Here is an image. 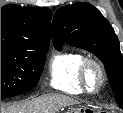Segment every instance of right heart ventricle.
Masks as SVG:
<instances>
[{"label":"right heart ventricle","instance_id":"e07e8e85","mask_svg":"<svg viewBox=\"0 0 123 113\" xmlns=\"http://www.w3.org/2000/svg\"><path fill=\"white\" fill-rule=\"evenodd\" d=\"M85 57L76 51L54 53L49 62V84L67 93L83 89L79 80V68Z\"/></svg>","mask_w":123,"mask_h":113}]
</instances>
